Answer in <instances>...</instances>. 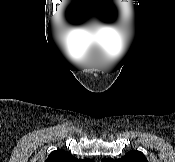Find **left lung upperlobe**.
Segmentation results:
<instances>
[{
    "label": "left lung upper lobe",
    "mask_w": 175,
    "mask_h": 162,
    "mask_svg": "<svg viewBox=\"0 0 175 162\" xmlns=\"http://www.w3.org/2000/svg\"><path fill=\"white\" fill-rule=\"evenodd\" d=\"M101 162H148V160L142 152L131 150L120 159L104 158Z\"/></svg>",
    "instance_id": "left-lung-upper-lobe-1"
}]
</instances>
